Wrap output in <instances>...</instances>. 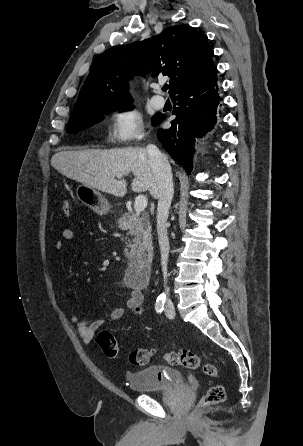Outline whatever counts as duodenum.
<instances>
[{"label": "duodenum", "mask_w": 303, "mask_h": 446, "mask_svg": "<svg viewBox=\"0 0 303 446\" xmlns=\"http://www.w3.org/2000/svg\"><path fill=\"white\" fill-rule=\"evenodd\" d=\"M150 266V260L147 258L132 261L126 273L129 285L135 288L144 287L149 281Z\"/></svg>", "instance_id": "1"}]
</instances>
